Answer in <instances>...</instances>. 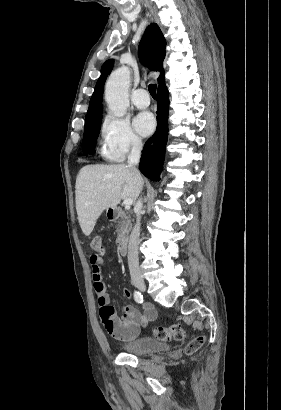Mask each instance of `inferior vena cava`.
Instances as JSON below:
<instances>
[{
  "mask_svg": "<svg viewBox=\"0 0 281 410\" xmlns=\"http://www.w3.org/2000/svg\"><path fill=\"white\" fill-rule=\"evenodd\" d=\"M143 148V144L140 140L135 141L132 145L131 153L128 155V167L135 170L137 173L139 172L136 168L140 161L141 151ZM141 209H142V202L141 199L138 200L136 204V224L131 232L129 238V245H128V265L130 270L131 279L134 280H141V272L139 269V261H138V244H139V236H140V220H141Z\"/></svg>",
  "mask_w": 281,
  "mask_h": 410,
  "instance_id": "602c4592",
  "label": "inferior vena cava"
}]
</instances>
